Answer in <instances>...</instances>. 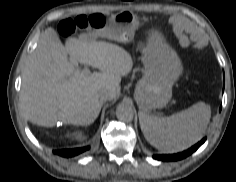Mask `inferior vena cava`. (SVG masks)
<instances>
[{
  "label": "inferior vena cava",
  "mask_w": 236,
  "mask_h": 182,
  "mask_svg": "<svg viewBox=\"0 0 236 182\" xmlns=\"http://www.w3.org/2000/svg\"><path fill=\"white\" fill-rule=\"evenodd\" d=\"M98 98H99L100 102H106L112 98V94L108 90H102L99 92Z\"/></svg>",
  "instance_id": "602c4592"
}]
</instances>
